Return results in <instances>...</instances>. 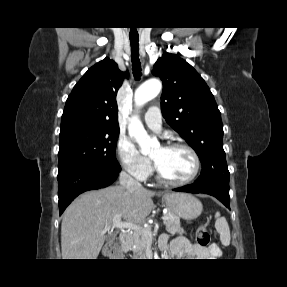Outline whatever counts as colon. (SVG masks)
<instances>
[{
    "label": "colon",
    "mask_w": 287,
    "mask_h": 287,
    "mask_svg": "<svg viewBox=\"0 0 287 287\" xmlns=\"http://www.w3.org/2000/svg\"><path fill=\"white\" fill-rule=\"evenodd\" d=\"M196 240H197L198 245L203 246V247L208 246L210 244L211 236L205 225H201L197 229ZM113 249H114V252L118 250L116 245L113 247Z\"/></svg>",
    "instance_id": "5ec220e1"
}]
</instances>
